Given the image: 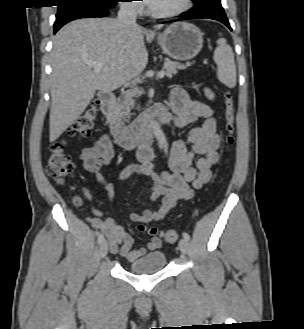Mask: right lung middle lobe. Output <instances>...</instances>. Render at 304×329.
Returning <instances> with one entry per match:
<instances>
[{
  "label": "right lung middle lobe",
  "mask_w": 304,
  "mask_h": 329,
  "mask_svg": "<svg viewBox=\"0 0 304 329\" xmlns=\"http://www.w3.org/2000/svg\"><path fill=\"white\" fill-rule=\"evenodd\" d=\"M58 13L80 6L105 7L109 8L116 5L117 0H58Z\"/></svg>",
  "instance_id": "1"
}]
</instances>
